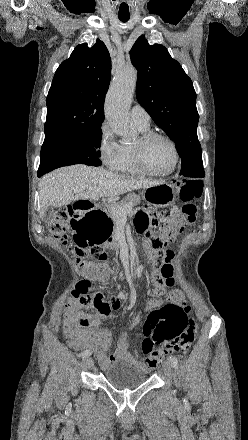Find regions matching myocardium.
Returning a JSON list of instances; mask_svg holds the SVG:
<instances>
[{
    "mask_svg": "<svg viewBox=\"0 0 248 440\" xmlns=\"http://www.w3.org/2000/svg\"><path fill=\"white\" fill-rule=\"evenodd\" d=\"M157 138L166 140L171 145L174 153L173 165L169 170L165 172H154L150 170L146 164V159H145L146 148L151 141ZM133 156L138 171L144 175L151 177H166L171 175L176 170L180 160V154L176 142L170 136L155 131H148L140 135L136 143L133 145Z\"/></svg>",
    "mask_w": 248,
    "mask_h": 440,
    "instance_id": "myocardium-1",
    "label": "myocardium"
}]
</instances>
